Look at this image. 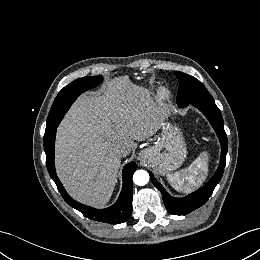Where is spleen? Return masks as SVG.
I'll return each instance as SVG.
<instances>
[{"label": "spleen", "instance_id": "obj_1", "mask_svg": "<svg viewBox=\"0 0 260 260\" xmlns=\"http://www.w3.org/2000/svg\"><path fill=\"white\" fill-rule=\"evenodd\" d=\"M207 176V155L201 152L191 164L173 173H167L170 184L178 191H188L198 187Z\"/></svg>", "mask_w": 260, "mask_h": 260}]
</instances>
